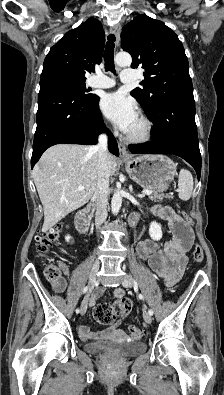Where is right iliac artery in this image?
<instances>
[{
  "label": "right iliac artery",
  "instance_id": "1",
  "mask_svg": "<svg viewBox=\"0 0 224 395\" xmlns=\"http://www.w3.org/2000/svg\"><path fill=\"white\" fill-rule=\"evenodd\" d=\"M88 289H89V286H86V287H84V289H83V294L84 293H86L87 291H88ZM85 299V298H84ZM84 301V300H83ZM83 303V302H82ZM82 306V305H81ZM80 312V309L79 308H77L76 309V313L78 314Z\"/></svg>",
  "mask_w": 224,
  "mask_h": 395
}]
</instances>
